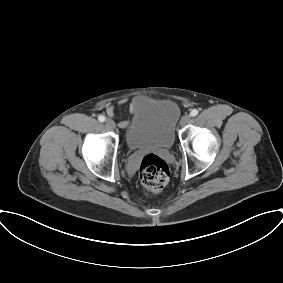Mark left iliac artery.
Segmentation results:
<instances>
[{"label": "left iliac artery", "mask_w": 283, "mask_h": 283, "mask_svg": "<svg viewBox=\"0 0 283 283\" xmlns=\"http://www.w3.org/2000/svg\"><path fill=\"white\" fill-rule=\"evenodd\" d=\"M198 110L197 109H193L191 112H190V115L192 116V117H195V116H197L198 115Z\"/></svg>", "instance_id": "obj_1"}]
</instances>
